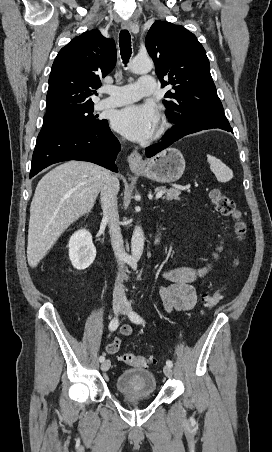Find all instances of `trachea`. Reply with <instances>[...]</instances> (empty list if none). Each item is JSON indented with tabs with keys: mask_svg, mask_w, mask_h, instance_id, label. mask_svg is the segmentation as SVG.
<instances>
[{
	"mask_svg": "<svg viewBox=\"0 0 272 452\" xmlns=\"http://www.w3.org/2000/svg\"><path fill=\"white\" fill-rule=\"evenodd\" d=\"M119 46H120V52H121V57L123 59V63L127 64L131 57V54H132L131 37H130V33L128 32V30H122L120 32Z\"/></svg>",
	"mask_w": 272,
	"mask_h": 452,
	"instance_id": "obj_1",
	"label": "trachea"
}]
</instances>
